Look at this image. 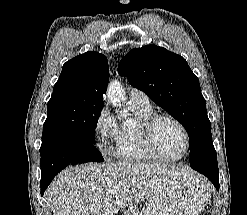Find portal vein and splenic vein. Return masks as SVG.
Segmentation results:
<instances>
[{
  "label": "portal vein and splenic vein",
  "mask_w": 247,
  "mask_h": 215,
  "mask_svg": "<svg viewBox=\"0 0 247 215\" xmlns=\"http://www.w3.org/2000/svg\"><path fill=\"white\" fill-rule=\"evenodd\" d=\"M110 193L114 195V194H116V191L115 190H111Z\"/></svg>",
  "instance_id": "obj_1"
}]
</instances>
